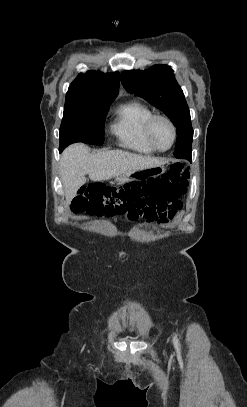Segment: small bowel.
I'll use <instances>...</instances> for the list:
<instances>
[{"label":"small bowel","mask_w":247,"mask_h":407,"mask_svg":"<svg viewBox=\"0 0 247 407\" xmlns=\"http://www.w3.org/2000/svg\"><path fill=\"white\" fill-rule=\"evenodd\" d=\"M182 208V202L170 203L165 200H148L143 207L124 217L130 222L143 220L145 224L165 225L175 219Z\"/></svg>","instance_id":"1"}]
</instances>
